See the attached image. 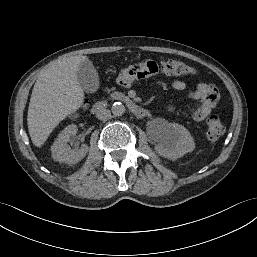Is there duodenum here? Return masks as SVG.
Returning a JSON list of instances; mask_svg holds the SVG:
<instances>
[{"mask_svg":"<svg viewBox=\"0 0 257 257\" xmlns=\"http://www.w3.org/2000/svg\"><path fill=\"white\" fill-rule=\"evenodd\" d=\"M120 99L126 104L128 109L138 118H145L148 115V111L141 107L140 105L133 102L131 99L127 97H120ZM108 103L106 101H98L94 107L93 112L98 113L107 107Z\"/></svg>","mask_w":257,"mask_h":257,"instance_id":"410a0bca","label":"duodenum"}]
</instances>
